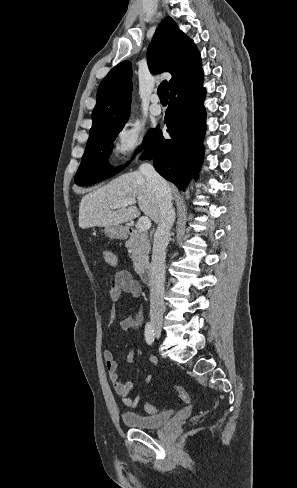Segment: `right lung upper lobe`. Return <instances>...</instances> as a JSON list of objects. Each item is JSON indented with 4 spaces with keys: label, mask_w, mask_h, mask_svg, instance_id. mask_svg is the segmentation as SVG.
<instances>
[{
    "label": "right lung upper lobe",
    "mask_w": 297,
    "mask_h": 488,
    "mask_svg": "<svg viewBox=\"0 0 297 488\" xmlns=\"http://www.w3.org/2000/svg\"><path fill=\"white\" fill-rule=\"evenodd\" d=\"M151 73L169 72L170 93L181 85L203 75L200 54L193 43L167 17L157 28L147 51ZM131 62L123 61L110 70L97 92L92 112L90 135L106 127L123 126L129 118L132 92Z\"/></svg>",
    "instance_id": "right-lung-upper-lobe-1"
}]
</instances>
